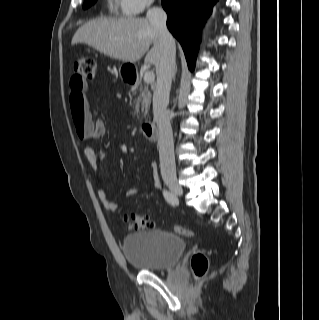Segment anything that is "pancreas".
<instances>
[{"mask_svg": "<svg viewBox=\"0 0 319 320\" xmlns=\"http://www.w3.org/2000/svg\"><path fill=\"white\" fill-rule=\"evenodd\" d=\"M139 87V92L140 94L137 95L136 89ZM133 95L135 96L134 99V104H135V113H138L139 107L141 104V111L143 113V117H146L149 109H150V104H151V93L148 89L147 86H142V85H135L131 89ZM137 95V96H136Z\"/></svg>", "mask_w": 319, "mask_h": 320, "instance_id": "cf45deb5", "label": "pancreas"}]
</instances>
